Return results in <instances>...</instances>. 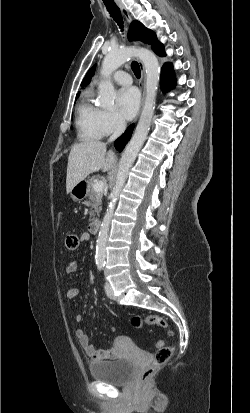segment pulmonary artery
<instances>
[{
    "label": "pulmonary artery",
    "instance_id": "1",
    "mask_svg": "<svg viewBox=\"0 0 250 413\" xmlns=\"http://www.w3.org/2000/svg\"><path fill=\"white\" fill-rule=\"evenodd\" d=\"M113 81L120 85L129 86L132 83L131 76L124 71H116L112 76Z\"/></svg>",
    "mask_w": 250,
    "mask_h": 413
}]
</instances>
